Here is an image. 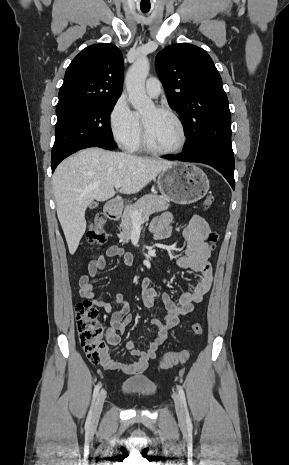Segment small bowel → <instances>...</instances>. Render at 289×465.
Here are the masks:
<instances>
[{
    "label": "small bowel",
    "mask_w": 289,
    "mask_h": 465,
    "mask_svg": "<svg viewBox=\"0 0 289 465\" xmlns=\"http://www.w3.org/2000/svg\"><path fill=\"white\" fill-rule=\"evenodd\" d=\"M174 215L165 212L157 216L150 227V230L157 240L168 238L173 230ZM210 228L207 222L199 215H190L187 218V224L183 231V237L186 242V249L183 255L178 259V266L182 269L192 270L197 273V281L191 286L190 290L181 294L178 303H176L169 294L159 293L153 286L152 280L145 277L141 282V297L147 308L155 306L157 300H160L164 306V319L153 318L152 326L156 329V334L149 342L145 350L136 347L133 341L128 342L127 347L132 361L119 362L114 360L105 346L102 352L100 364L106 370H120L129 375H139L147 367L150 360L156 357L158 348L167 339L169 330L175 327L181 316H184L194 309L195 304L200 303L212 285V268L209 262L211 254V245L208 242ZM105 257H121L124 264L131 266L134 257L131 253L126 252L118 246L109 247L104 255L98 256L90 261L88 273L80 278V296L89 300L92 304L101 307L110 315V326L106 329L107 343L115 347L120 342V336L133 321L130 313V307L125 302L123 295L117 293L111 301L97 300L90 282L91 277H95L98 271L106 266ZM114 305H120L121 308L112 312Z\"/></svg>",
    "instance_id": "1"
}]
</instances>
